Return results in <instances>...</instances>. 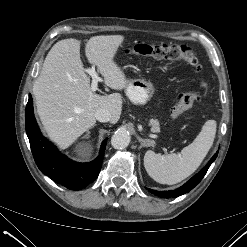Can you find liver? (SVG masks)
Returning a JSON list of instances; mask_svg holds the SVG:
<instances>
[{"label": "liver", "mask_w": 247, "mask_h": 247, "mask_svg": "<svg viewBox=\"0 0 247 247\" xmlns=\"http://www.w3.org/2000/svg\"><path fill=\"white\" fill-rule=\"evenodd\" d=\"M123 41L122 35H101L91 37L85 45L88 62L97 67L104 83L114 90H123L128 83L114 62ZM80 44L73 38L54 44L33 85L40 120L48 137L61 149L69 147L94 126L98 109L111 113L112 124L118 122L122 112L123 99L119 93L104 96L91 90L90 78L80 58ZM90 155L88 148L81 157L88 159Z\"/></svg>", "instance_id": "6515ba94"}]
</instances>
